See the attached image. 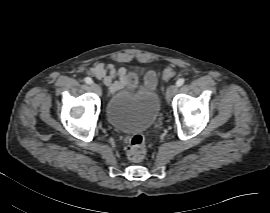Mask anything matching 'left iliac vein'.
I'll return each instance as SVG.
<instances>
[{"label":"left iliac vein","instance_id":"left-iliac-vein-1","mask_svg":"<svg viewBox=\"0 0 270 213\" xmlns=\"http://www.w3.org/2000/svg\"><path fill=\"white\" fill-rule=\"evenodd\" d=\"M177 85L176 84H172L170 85L167 90H166V99L169 102L171 100V98L174 96V94L177 91Z\"/></svg>","mask_w":270,"mask_h":213}]
</instances>
